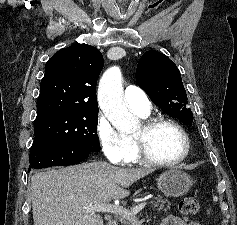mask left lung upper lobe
<instances>
[{
  "label": "left lung upper lobe",
  "instance_id": "obj_1",
  "mask_svg": "<svg viewBox=\"0 0 237 225\" xmlns=\"http://www.w3.org/2000/svg\"><path fill=\"white\" fill-rule=\"evenodd\" d=\"M136 80L150 99L161 109L184 124H191L193 114L189 108L181 74L173 61L154 50L140 59Z\"/></svg>",
  "mask_w": 237,
  "mask_h": 225
}]
</instances>
